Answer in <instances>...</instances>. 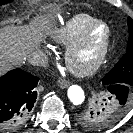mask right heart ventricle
I'll list each match as a JSON object with an SVG mask.
<instances>
[{"label":"right heart ventricle","mask_w":133,"mask_h":133,"mask_svg":"<svg viewBox=\"0 0 133 133\" xmlns=\"http://www.w3.org/2000/svg\"><path fill=\"white\" fill-rule=\"evenodd\" d=\"M95 18L87 13H78L56 27L50 37L59 45H69Z\"/></svg>","instance_id":"e07e8e85"}]
</instances>
